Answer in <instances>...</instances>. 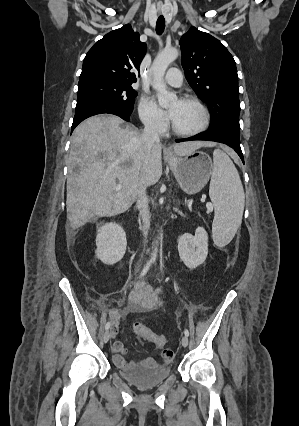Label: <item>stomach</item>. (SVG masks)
Listing matches in <instances>:
<instances>
[{"instance_id":"1","label":"stomach","mask_w":299,"mask_h":426,"mask_svg":"<svg viewBox=\"0 0 299 426\" xmlns=\"http://www.w3.org/2000/svg\"><path fill=\"white\" fill-rule=\"evenodd\" d=\"M167 160L181 189L187 194L202 190L212 176V160L202 151L195 150L183 157L169 153Z\"/></svg>"}]
</instances>
